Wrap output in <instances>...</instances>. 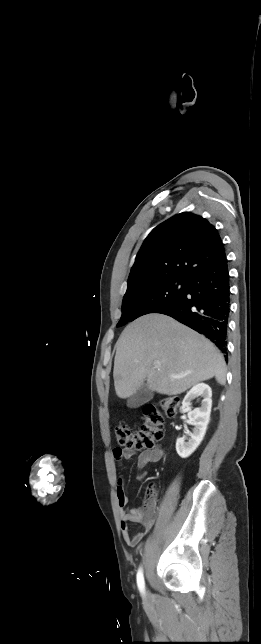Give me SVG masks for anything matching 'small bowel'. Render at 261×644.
Returning <instances> with one entry per match:
<instances>
[{
  "mask_svg": "<svg viewBox=\"0 0 261 644\" xmlns=\"http://www.w3.org/2000/svg\"><path fill=\"white\" fill-rule=\"evenodd\" d=\"M163 449L156 446L151 449L138 451L135 448L129 447H116L112 450V456L116 461L129 460L137 457V470L141 471L147 464L155 463L162 459ZM151 491V489H150ZM116 497L119 505V514L121 522V530L125 542L130 546L138 545L142 539L150 532L153 527V520L146 517L140 509H125L128 503V496L124 489V481L122 478L118 480L116 489ZM141 523L143 529L135 534H130L129 524Z\"/></svg>",
  "mask_w": 261,
  "mask_h": 644,
  "instance_id": "obj_1",
  "label": "small bowel"
}]
</instances>
